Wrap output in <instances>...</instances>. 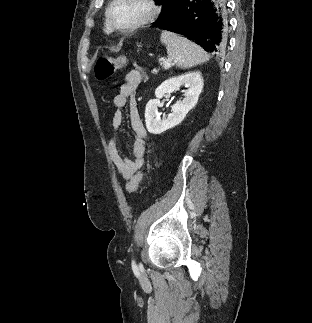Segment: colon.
Instances as JSON below:
<instances>
[{"label":"colon","mask_w":312,"mask_h":323,"mask_svg":"<svg viewBox=\"0 0 312 323\" xmlns=\"http://www.w3.org/2000/svg\"><path fill=\"white\" fill-rule=\"evenodd\" d=\"M126 62L127 60L124 56H119L115 59L107 55L101 56L97 59L94 66L95 75L99 79L105 80L108 77H110L112 73H114L117 69L125 67ZM143 178H144L143 171L137 173L130 181V184H125L124 186L125 191H135V189L139 186Z\"/></svg>","instance_id":"5ec220e1"}]
</instances>
